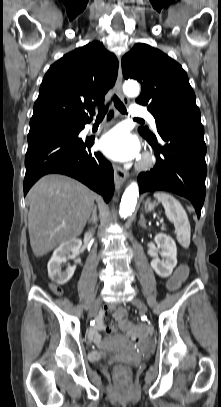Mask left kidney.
<instances>
[{
  "label": "left kidney",
  "instance_id": "1",
  "mask_svg": "<svg viewBox=\"0 0 221 407\" xmlns=\"http://www.w3.org/2000/svg\"><path fill=\"white\" fill-rule=\"evenodd\" d=\"M155 243L161 249L163 261L155 257L151 261V267L162 278L169 277L174 267L177 265V248L174 240L164 234L159 233L155 236Z\"/></svg>",
  "mask_w": 221,
  "mask_h": 407
}]
</instances>
